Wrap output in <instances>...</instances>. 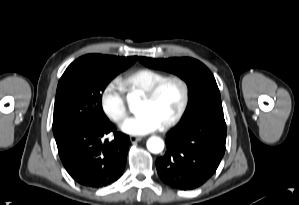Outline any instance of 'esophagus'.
I'll return each mask as SVG.
<instances>
[{
    "label": "esophagus",
    "instance_id": "34e87169",
    "mask_svg": "<svg viewBox=\"0 0 299 205\" xmlns=\"http://www.w3.org/2000/svg\"><path fill=\"white\" fill-rule=\"evenodd\" d=\"M129 139H130V141H131L132 143H134V142L141 141V140H142V137H139V136H130Z\"/></svg>",
    "mask_w": 299,
    "mask_h": 205
}]
</instances>
